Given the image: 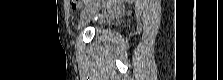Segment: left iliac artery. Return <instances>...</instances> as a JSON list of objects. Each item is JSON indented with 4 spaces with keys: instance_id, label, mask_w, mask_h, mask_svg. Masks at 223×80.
I'll return each mask as SVG.
<instances>
[{
    "instance_id": "1",
    "label": "left iliac artery",
    "mask_w": 223,
    "mask_h": 80,
    "mask_svg": "<svg viewBox=\"0 0 223 80\" xmlns=\"http://www.w3.org/2000/svg\"><path fill=\"white\" fill-rule=\"evenodd\" d=\"M86 3H87V5H88L89 1L87 0Z\"/></svg>"
}]
</instances>
